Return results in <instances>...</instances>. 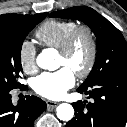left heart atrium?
Listing matches in <instances>:
<instances>
[{
  "instance_id": "obj_1",
  "label": "left heart atrium",
  "mask_w": 127,
  "mask_h": 127,
  "mask_svg": "<svg viewBox=\"0 0 127 127\" xmlns=\"http://www.w3.org/2000/svg\"><path fill=\"white\" fill-rule=\"evenodd\" d=\"M75 84L74 72L62 67L55 72H45L33 80L35 92L48 99H60Z\"/></svg>"
}]
</instances>
